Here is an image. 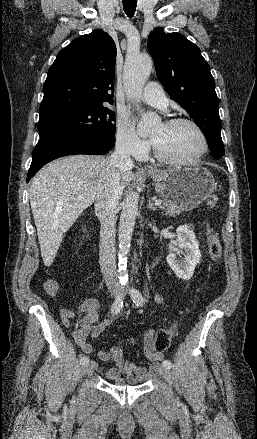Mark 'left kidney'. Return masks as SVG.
<instances>
[{
  "mask_svg": "<svg viewBox=\"0 0 257 439\" xmlns=\"http://www.w3.org/2000/svg\"><path fill=\"white\" fill-rule=\"evenodd\" d=\"M179 249L167 256V263L174 273L183 280L193 276L196 265L200 262L201 252L199 242L196 240L193 228L188 225L179 226L176 230ZM184 250V251H182ZM182 253L184 258L177 259V254Z\"/></svg>",
  "mask_w": 257,
  "mask_h": 439,
  "instance_id": "obj_1",
  "label": "left kidney"
}]
</instances>
